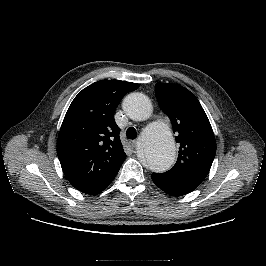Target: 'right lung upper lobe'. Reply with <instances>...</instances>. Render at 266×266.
Instances as JSON below:
<instances>
[{"mask_svg": "<svg viewBox=\"0 0 266 266\" xmlns=\"http://www.w3.org/2000/svg\"><path fill=\"white\" fill-rule=\"evenodd\" d=\"M137 83L101 80L83 89L63 120L57 154L64 175L79 191L91 194L117 175L126 154L114 120L122 97Z\"/></svg>", "mask_w": 266, "mask_h": 266, "instance_id": "right-lung-upper-lobe-1", "label": "right lung upper lobe"}]
</instances>
